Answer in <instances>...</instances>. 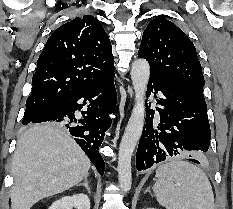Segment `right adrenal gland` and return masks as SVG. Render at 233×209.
I'll list each match as a JSON object with an SVG mask.
<instances>
[{"label": "right adrenal gland", "mask_w": 233, "mask_h": 209, "mask_svg": "<svg viewBox=\"0 0 233 209\" xmlns=\"http://www.w3.org/2000/svg\"><path fill=\"white\" fill-rule=\"evenodd\" d=\"M88 177H89V174H87V175L84 177V182H83V183L77 184V186H84V187L87 189L88 193L90 194V193H91V190H90V187H89Z\"/></svg>", "instance_id": "right-adrenal-gland-1"}]
</instances>
